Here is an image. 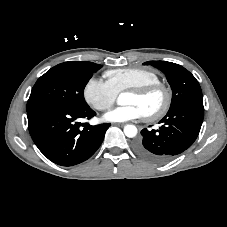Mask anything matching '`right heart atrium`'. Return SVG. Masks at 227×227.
Wrapping results in <instances>:
<instances>
[{
  "label": "right heart atrium",
  "instance_id": "d8ad5b80",
  "mask_svg": "<svg viewBox=\"0 0 227 227\" xmlns=\"http://www.w3.org/2000/svg\"><path fill=\"white\" fill-rule=\"evenodd\" d=\"M83 96L85 101L98 111L109 109L117 98L116 92L108 83L96 77H92L86 82Z\"/></svg>",
  "mask_w": 227,
  "mask_h": 227
}]
</instances>
